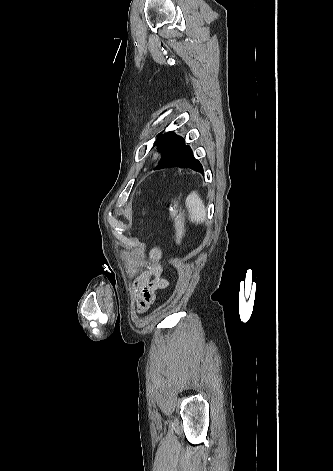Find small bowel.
I'll return each instance as SVG.
<instances>
[{
  "label": "small bowel",
  "instance_id": "obj_1",
  "mask_svg": "<svg viewBox=\"0 0 333 471\" xmlns=\"http://www.w3.org/2000/svg\"><path fill=\"white\" fill-rule=\"evenodd\" d=\"M150 262L134 280L131 293L136 302L137 312L145 313L156 300V293L169 286L168 279L163 275L160 264L161 252L158 248L152 249Z\"/></svg>",
  "mask_w": 333,
  "mask_h": 471
}]
</instances>
